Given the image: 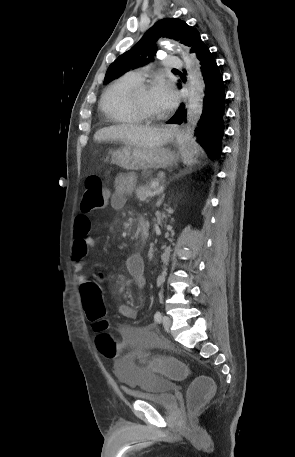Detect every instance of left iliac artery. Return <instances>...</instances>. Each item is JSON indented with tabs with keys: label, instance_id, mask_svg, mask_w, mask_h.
<instances>
[{
	"label": "left iliac artery",
	"instance_id": "1",
	"mask_svg": "<svg viewBox=\"0 0 295 457\" xmlns=\"http://www.w3.org/2000/svg\"><path fill=\"white\" fill-rule=\"evenodd\" d=\"M161 319H162V315L159 311H157L154 315V320L157 322V323H160L161 322Z\"/></svg>",
	"mask_w": 295,
	"mask_h": 457
}]
</instances>
